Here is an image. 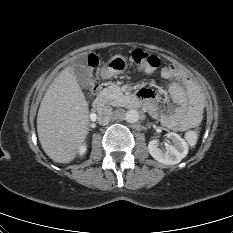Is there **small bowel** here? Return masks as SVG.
I'll return each instance as SVG.
<instances>
[{"instance_id": "c3829d8e", "label": "small bowel", "mask_w": 233, "mask_h": 233, "mask_svg": "<svg viewBox=\"0 0 233 233\" xmlns=\"http://www.w3.org/2000/svg\"><path fill=\"white\" fill-rule=\"evenodd\" d=\"M161 75L169 81V92L174 109L160 112L154 104L157 93L142 89L139 96L145 101L152 114L159 117L169 129L184 131L195 126L202 117L204 108L203 96L190 75L175 64L166 65Z\"/></svg>"}]
</instances>
